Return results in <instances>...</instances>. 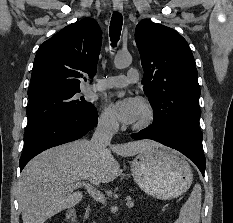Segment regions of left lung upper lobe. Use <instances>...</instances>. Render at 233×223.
<instances>
[{"label":"left lung upper lobe","instance_id":"5c2ea615","mask_svg":"<svg viewBox=\"0 0 233 223\" xmlns=\"http://www.w3.org/2000/svg\"><path fill=\"white\" fill-rule=\"evenodd\" d=\"M144 70L142 83L154 113L153 125L199 126L200 86L194 57L174 29L142 20L135 30Z\"/></svg>","mask_w":233,"mask_h":223}]
</instances>
